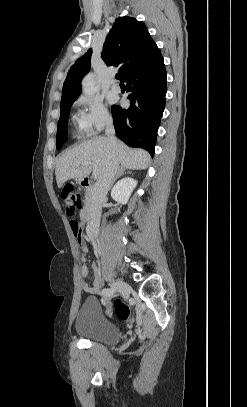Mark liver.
I'll return each instance as SVG.
<instances>
[{"label":"liver","instance_id":"6515ba94","mask_svg":"<svg viewBox=\"0 0 247 407\" xmlns=\"http://www.w3.org/2000/svg\"><path fill=\"white\" fill-rule=\"evenodd\" d=\"M112 150L116 154L118 163L125 169H146L151 162L150 155L142 149L129 148L121 141H116L113 149L106 137L93 138L66 151L58 159L55 168L58 187L61 188L69 179L87 177L91 167L82 165L84 162H94L100 176L106 169Z\"/></svg>","mask_w":247,"mask_h":407}]
</instances>
